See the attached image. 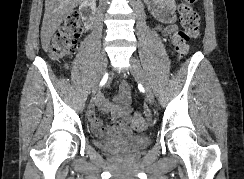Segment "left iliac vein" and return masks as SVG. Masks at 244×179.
Instances as JSON below:
<instances>
[{
  "instance_id": "4c4485c4",
  "label": "left iliac vein",
  "mask_w": 244,
  "mask_h": 179,
  "mask_svg": "<svg viewBox=\"0 0 244 179\" xmlns=\"http://www.w3.org/2000/svg\"><path fill=\"white\" fill-rule=\"evenodd\" d=\"M130 71L135 76L137 80L141 83L145 90V99L148 103L152 104L154 102V91L149 82L148 78L145 75L144 70L142 69L138 60L134 57L130 58Z\"/></svg>"
}]
</instances>
